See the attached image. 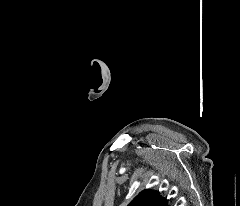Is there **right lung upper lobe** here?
Returning a JSON list of instances; mask_svg holds the SVG:
<instances>
[{"instance_id": "1", "label": "right lung upper lobe", "mask_w": 240, "mask_h": 206, "mask_svg": "<svg viewBox=\"0 0 240 206\" xmlns=\"http://www.w3.org/2000/svg\"><path fill=\"white\" fill-rule=\"evenodd\" d=\"M128 206H168L166 199L156 191L144 190L136 196Z\"/></svg>"}]
</instances>
